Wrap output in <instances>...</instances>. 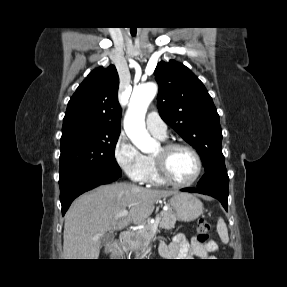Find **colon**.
Listing matches in <instances>:
<instances>
[{
	"label": "colon",
	"mask_w": 287,
	"mask_h": 287,
	"mask_svg": "<svg viewBox=\"0 0 287 287\" xmlns=\"http://www.w3.org/2000/svg\"><path fill=\"white\" fill-rule=\"evenodd\" d=\"M210 231H211V226L209 222L204 218L199 219L197 223V240L201 244L208 243Z\"/></svg>",
	"instance_id": "colon-1"
}]
</instances>
